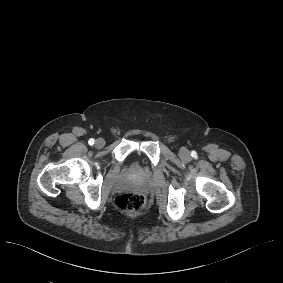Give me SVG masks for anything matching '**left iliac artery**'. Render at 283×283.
Segmentation results:
<instances>
[{"mask_svg":"<svg viewBox=\"0 0 283 283\" xmlns=\"http://www.w3.org/2000/svg\"><path fill=\"white\" fill-rule=\"evenodd\" d=\"M191 156H192V157H196V152H195V151H192V152H191Z\"/></svg>","mask_w":283,"mask_h":283,"instance_id":"left-iliac-artery-1","label":"left iliac artery"}]
</instances>
